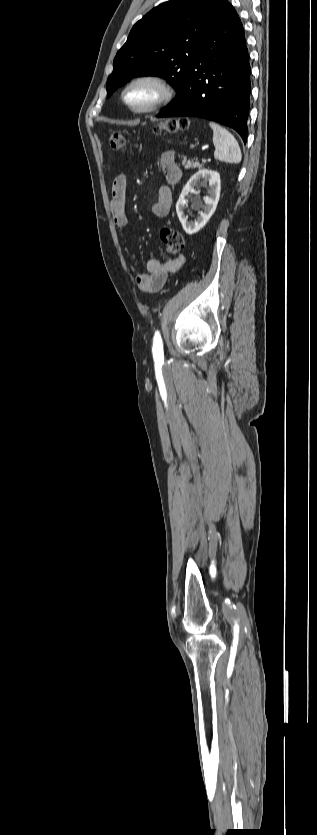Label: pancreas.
Masks as SVG:
<instances>
[{"label": "pancreas", "mask_w": 317, "mask_h": 835, "mask_svg": "<svg viewBox=\"0 0 317 835\" xmlns=\"http://www.w3.org/2000/svg\"><path fill=\"white\" fill-rule=\"evenodd\" d=\"M182 164L184 165V167L186 169H190V168H199L200 169V168H202V165L195 159L186 161V158L184 157L183 161H182Z\"/></svg>", "instance_id": "obj_1"}]
</instances>
